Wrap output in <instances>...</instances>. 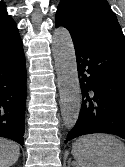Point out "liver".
<instances>
[{
    "label": "liver",
    "mask_w": 125,
    "mask_h": 167,
    "mask_svg": "<svg viewBox=\"0 0 125 167\" xmlns=\"http://www.w3.org/2000/svg\"><path fill=\"white\" fill-rule=\"evenodd\" d=\"M20 156L19 145L11 140L0 137V167H10Z\"/></svg>",
    "instance_id": "liver-1"
}]
</instances>
